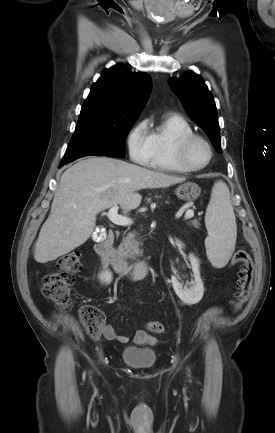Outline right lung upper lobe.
Returning a JSON list of instances; mask_svg holds the SVG:
<instances>
[{
    "instance_id": "1",
    "label": "right lung upper lobe",
    "mask_w": 275,
    "mask_h": 433,
    "mask_svg": "<svg viewBox=\"0 0 275 433\" xmlns=\"http://www.w3.org/2000/svg\"><path fill=\"white\" fill-rule=\"evenodd\" d=\"M150 87L151 79L147 73H132L123 64L105 69L92 85L78 122L136 120L147 101Z\"/></svg>"
}]
</instances>
